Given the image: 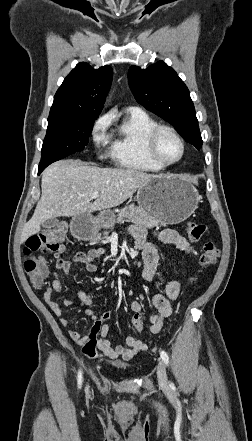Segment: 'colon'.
Masks as SVG:
<instances>
[{
	"mask_svg": "<svg viewBox=\"0 0 252 441\" xmlns=\"http://www.w3.org/2000/svg\"><path fill=\"white\" fill-rule=\"evenodd\" d=\"M186 234L191 241H199L206 231V226L195 221H188L186 223ZM66 224L64 222L44 230L43 232L30 237L24 247V267L29 274L34 286L40 287L43 285L48 274L46 263L41 258H36V252L42 253H58L65 250L64 239L66 235ZM219 257V250L215 244L207 242L203 245L200 257L199 266L201 269H206L213 266ZM111 317L110 311H104L96 319L89 338L83 343L82 352L89 358H97L102 355L96 340V334L101 329L103 323L108 321ZM131 325L137 331H142L144 324L142 321L141 312H134L131 317Z\"/></svg>",
	"mask_w": 252,
	"mask_h": 441,
	"instance_id": "1",
	"label": "colon"
}]
</instances>
